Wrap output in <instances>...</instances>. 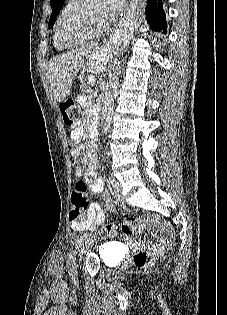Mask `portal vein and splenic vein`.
I'll return each instance as SVG.
<instances>
[{"label": "portal vein and splenic vein", "mask_w": 227, "mask_h": 315, "mask_svg": "<svg viewBox=\"0 0 227 315\" xmlns=\"http://www.w3.org/2000/svg\"><path fill=\"white\" fill-rule=\"evenodd\" d=\"M90 83H95L96 82V77L95 76H91L90 80H89Z\"/></svg>", "instance_id": "18ae733b"}]
</instances>
